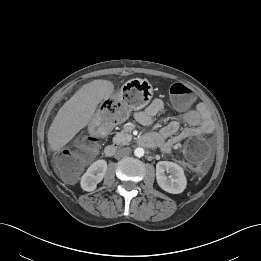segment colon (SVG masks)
<instances>
[{
    "label": "colon",
    "instance_id": "obj_1",
    "mask_svg": "<svg viewBox=\"0 0 261 261\" xmlns=\"http://www.w3.org/2000/svg\"><path fill=\"white\" fill-rule=\"evenodd\" d=\"M170 94L174 104L179 107L188 106L193 99L192 91L182 83L173 84ZM123 118V113L116 110L110 111L102 118L94 133L79 137L72 149L57 157L56 167L63 179L71 182L78 177L85 162L96 154L99 139L107 134L111 124ZM185 150L190 158L199 159L206 155L207 146L202 140L193 138L187 142Z\"/></svg>",
    "mask_w": 261,
    "mask_h": 261
}]
</instances>
